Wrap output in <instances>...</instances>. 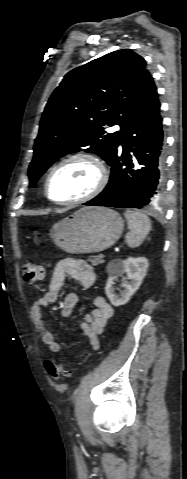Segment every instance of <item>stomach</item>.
Masks as SVG:
<instances>
[{"mask_svg":"<svg viewBox=\"0 0 187 479\" xmlns=\"http://www.w3.org/2000/svg\"><path fill=\"white\" fill-rule=\"evenodd\" d=\"M123 228L124 221L116 211L105 207H84L54 224L48 235L66 252L95 253L114 245ZM35 235L38 241L39 235Z\"/></svg>","mask_w":187,"mask_h":479,"instance_id":"obj_1","label":"stomach"}]
</instances>
